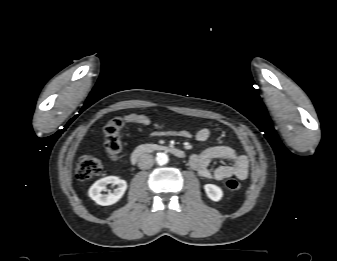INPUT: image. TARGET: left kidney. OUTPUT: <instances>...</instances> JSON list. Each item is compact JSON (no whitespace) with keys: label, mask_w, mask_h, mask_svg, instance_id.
Instances as JSON below:
<instances>
[{"label":"left kidney","mask_w":337,"mask_h":261,"mask_svg":"<svg viewBox=\"0 0 337 261\" xmlns=\"http://www.w3.org/2000/svg\"><path fill=\"white\" fill-rule=\"evenodd\" d=\"M204 190L212 201H219L223 196L222 189L214 184H205Z\"/></svg>","instance_id":"obj_1"}]
</instances>
